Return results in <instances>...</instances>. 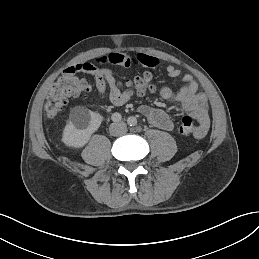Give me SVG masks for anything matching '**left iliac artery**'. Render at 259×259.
<instances>
[{
  "instance_id": "44dca946",
  "label": "left iliac artery",
  "mask_w": 259,
  "mask_h": 259,
  "mask_svg": "<svg viewBox=\"0 0 259 259\" xmlns=\"http://www.w3.org/2000/svg\"><path fill=\"white\" fill-rule=\"evenodd\" d=\"M127 122H128V124H129L130 126H132V127H134V126L137 125V119H136L135 117H133V116L129 117V118L127 119Z\"/></svg>"
}]
</instances>
